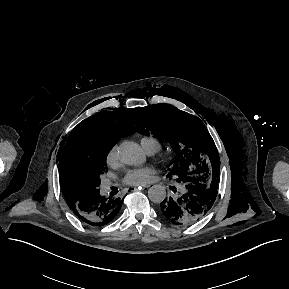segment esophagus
I'll list each match as a JSON object with an SVG mask.
<instances>
[{"mask_svg":"<svg viewBox=\"0 0 289 289\" xmlns=\"http://www.w3.org/2000/svg\"><path fill=\"white\" fill-rule=\"evenodd\" d=\"M149 187H150V184L142 185V189H147ZM134 190H136V188H134Z\"/></svg>","mask_w":289,"mask_h":289,"instance_id":"34e87169","label":"esophagus"}]
</instances>
